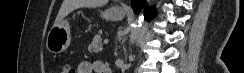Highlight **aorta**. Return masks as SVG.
Instances as JSON below:
<instances>
[{"label":"aorta","mask_w":244,"mask_h":73,"mask_svg":"<svg viewBox=\"0 0 244 73\" xmlns=\"http://www.w3.org/2000/svg\"><path fill=\"white\" fill-rule=\"evenodd\" d=\"M149 2V0L147 1ZM143 11H141L139 17L134 21L133 27L131 29L130 41L133 42L137 33L140 31L143 23Z\"/></svg>","instance_id":"1"}]
</instances>
